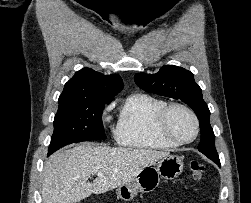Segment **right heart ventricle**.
<instances>
[{"label": "right heart ventricle", "mask_w": 251, "mask_h": 203, "mask_svg": "<svg viewBox=\"0 0 251 203\" xmlns=\"http://www.w3.org/2000/svg\"><path fill=\"white\" fill-rule=\"evenodd\" d=\"M163 100L145 94L128 97L121 109L115 139L121 146L142 150H167L176 147L155 130L158 112L166 106Z\"/></svg>", "instance_id": "obj_1"}]
</instances>
